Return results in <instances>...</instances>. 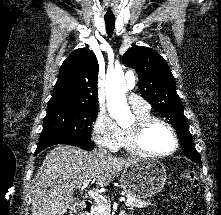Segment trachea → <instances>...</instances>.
<instances>
[{"mask_svg": "<svg viewBox=\"0 0 221 215\" xmlns=\"http://www.w3.org/2000/svg\"><path fill=\"white\" fill-rule=\"evenodd\" d=\"M107 34L111 36L115 28V19H105Z\"/></svg>", "mask_w": 221, "mask_h": 215, "instance_id": "trachea-1", "label": "trachea"}]
</instances>
